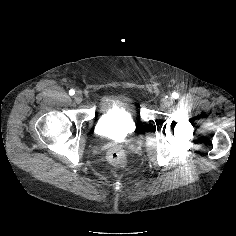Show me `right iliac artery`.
Here are the masks:
<instances>
[{
	"instance_id": "1",
	"label": "right iliac artery",
	"mask_w": 236,
	"mask_h": 236,
	"mask_svg": "<svg viewBox=\"0 0 236 236\" xmlns=\"http://www.w3.org/2000/svg\"><path fill=\"white\" fill-rule=\"evenodd\" d=\"M75 94V91L73 89L69 90V95L73 96Z\"/></svg>"
}]
</instances>
